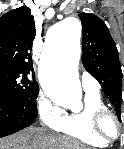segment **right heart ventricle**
I'll return each instance as SVG.
<instances>
[{
    "label": "right heart ventricle",
    "instance_id": "obj_1",
    "mask_svg": "<svg viewBox=\"0 0 124 149\" xmlns=\"http://www.w3.org/2000/svg\"><path fill=\"white\" fill-rule=\"evenodd\" d=\"M106 108L98 91H85L83 107L77 111L65 112L61 124L55 131L88 146L104 148L109 142L95 133L93 115L96 111Z\"/></svg>",
    "mask_w": 124,
    "mask_h": 149
}]
</instances>
